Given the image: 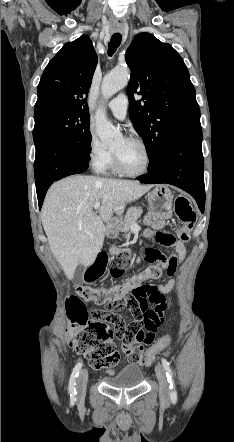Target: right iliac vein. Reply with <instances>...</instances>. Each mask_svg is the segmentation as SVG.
Returning <instances> with one entry per match:
<instances>
[{
	"instance_id": "63e3f726",
	"label": "right iliac vein",
	"mask_w": 234,
	"mask_h": 442,
	"mask_svg": "<svg viewBox=\"0 0 234 442\" xmlns=\"http://www.w3.org/2000/svg\"><path fill=\"white\" fill-rule=\"evenodd\" d=\"M87 381H88V372L86 369H84L81 371L78 381H77V398L78 399H81L84 396Z\"/></svg>"
}]
</instances>
